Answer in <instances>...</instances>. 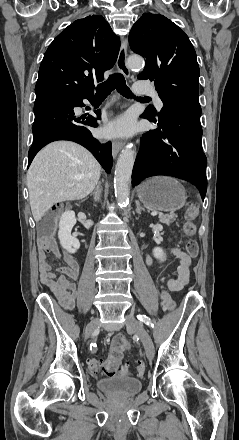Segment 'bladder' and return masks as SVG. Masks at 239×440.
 <instances>
[{
  "label": "bladder",
  "mask_w": 239,
  "mask_h": 440,
  "mask_svg": "<svg viewBox=\"0 0 239 440\" xmlns=\"http://www.w3.org/2000/svg\"><path fill=\"white\" fill-rule=\"evenodd\" d=\"M96 385L102 392L121 397L133 396L142 389V382L137 378L129 376L102 378L96 382Z\"/></svg>",
  "instance_id": "1"
}]
</instances>
